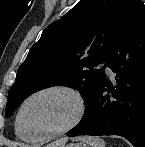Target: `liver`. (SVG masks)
Here are the masks:
<instances>
[{
    "instance_id": "6515ba94",
    "label": "liver",
    "mask_w": 145,
    "mask_h": 147,
    "mask_svg": "<svg viewBox=\"0 0 145 147\" xmlns=\"http://www.w3.org/2000/svg\"><path fill=\"white\" fill-rule=\"evenodd\" d=\"M67 139H60L56 142L49 144L47 147H64Z\"/></svg>"
}]
</instances>
